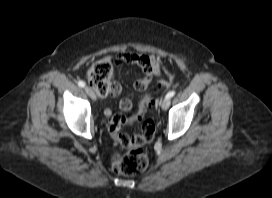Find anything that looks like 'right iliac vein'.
<instances>
[{"label": "right iliac vein", "mask_w": 272, "mask_h": 198, "mask_svg": "<svg viewBox=\"0 0 272 198\" xmlns=\"http://www.w3.org/2000/svg\"><path fill=\"white\" fill-rule=\"evenodd\" d=\"M85 92L87 93V95L90 98L96 99V95H95L94 91L90 87H85Z\"/></svg>", "instance_id": "right-iliac-vein-1"}]
</instances>
